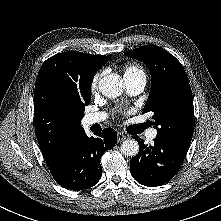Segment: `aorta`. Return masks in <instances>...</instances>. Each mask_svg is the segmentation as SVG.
Returning a JSON list of instances; mask_svg holds the SVG:
<instances>
[{
	"instance_id": "aorta-1",
	"label": "aorta",
	"mask_w": 221,
	"mask_h": 221,
	"mask_svg": "<svg viewBox=\"0 0 221 221\" xmlns=\"http://www.w3.org/2000/svg\"><path fill=\"white\" fill-rule=\"evenodd\" d=\"M99 89L105 97L116 98L124 90L123 79L117 74L106 75L100 80ZM121 151L126 156L134 157L139 152V144L134 139L125 140L121 144Z\"/></svg>"
}]
</instances>
